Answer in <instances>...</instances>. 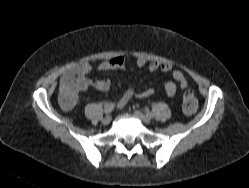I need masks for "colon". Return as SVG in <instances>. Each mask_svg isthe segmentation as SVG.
I'll list each match as a JSON object with an SVG mask.
<instances>
[{"instance_id":"colon-1","label":"colon","mask_w":249,"mask_h":188,"mask_svg":"<svg viewBox=\"0 0 249 188\" xmlns=\"http://www.w3.org/2000/svg\"><path fill=\"white\" fill-rule=\"evenodd\" d=\"M62 98L70 106H73V99L71 93L63 94ZM197 108H198V102L194 95V92L190 88H187L182 95V109L184 113L191 115L196 112Z\"/></svg>"}]
</instances>
